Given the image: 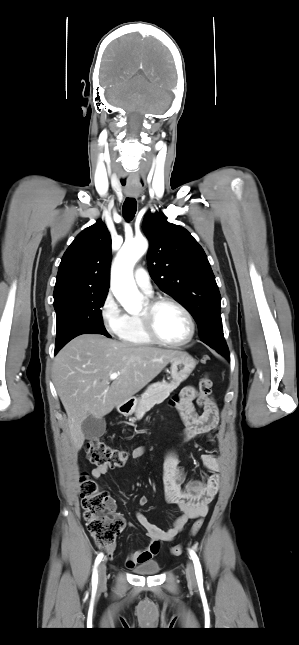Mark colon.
<instances>
[{"label":"colon","mask_w":299,"mask_h":645,"mask_svg":"<svg viewBox=\"0 0 299 645\" xmlns=\"http://www.w3.org/2000/svg\"><path fill=\"white\" fill-rule=\"evenodd\" d=\"M209 361L210 357L208 355L202 356L201 362L203 364H207ZM211 388L212 381L210 378L208 376L203 377L199 383V405H203L209 398ZM87 457L93 464L117 468L124 465L128 458V453L125 450L111 448L99 439H92L88 443ZM80 489L84 518L97 547L103 550L112 549L117 536L125 527V521L117 511L114 499L101 490L98 484L87 475L81 477ZM202 525L203 518L200 517L194 522L191 535L195 536ZM182 552V545H176L171 548L173 555L178 556Z\"/></svg>","instance_id":"1"}]
</instances>
